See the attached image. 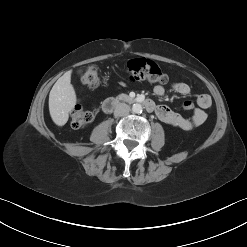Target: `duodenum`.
I'll return each instance as SVG.
<instances>
[{"label":"duodenum","instance_id":"obj_1","mask_svg":"<svg viewBox=\"0 0 247 247\" xmlns=\"http://www.w3.org/2000/svg\"><path fill=\"white\" fill-rule=\"evenodd\" d=\"M124 100L123 97H112L108 98L103 102L102 108L105 113H110L119 103L120 101ZM131 103H138L144 106V108L149 111L153 112L156 108V105L153 100L148 98H133L129 99Z\"/></svg>","mask_w":247,"mask_h":247}]
</instances>
